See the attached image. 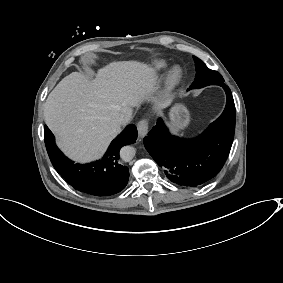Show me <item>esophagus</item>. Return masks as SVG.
Returning <instances> with one entry per match:
<instances>
[{
	"label": "esophagus",
	"instance_id": "1",
	"mask_svg": "<svg viewBox=\"0 0 283 283\" xmlns=\"http://www.w3.org/2000/svg\"><path fill=\"white\" fill-rule=\"evenodd\" d=\"M148 127H149V124L147 120L143 119L138 122L137 130H138V136L140 138L144 137L147 134Z\"/></svg>",
	"mask_w": 283,
	"mask_h": 283
}]
</instances>
